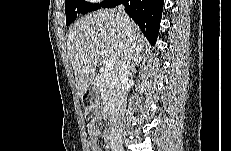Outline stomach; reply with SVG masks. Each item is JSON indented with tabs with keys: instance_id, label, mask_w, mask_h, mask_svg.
Instances as JSON below:
<instances>
[{
	"instance_id": "0dacf381",
	"label": "stomach",
	"mask_w": 231,
	"mask_h": 151,
	"mask_svg": "<svg viewBox=\"0 0 231 151\" xmlns=\"http://www.w3.org/2000/svg\"><path fill=\"white\" fill-rule=\"evenodd\" d=\"M90 94H92L93 96H96L97 95L96 89L95 88H91L90 89ZM85 100H87V98H85ZM92 103H93V101L90 102V104H92Z\"/></svg>"
}]
</instances>
